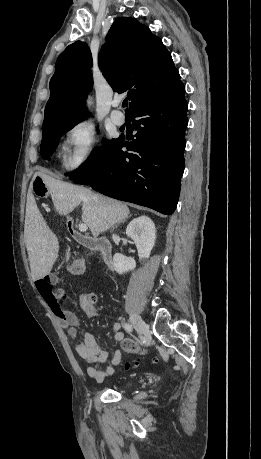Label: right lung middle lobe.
Returning a JSON list of instances; mask_svg holds the SVG:
<instances>
[{
    "instance_id": "1",
    "label": "right lung middle lobe",
    "mask_w": 261,
    "mask_h": 459,
    "mask_svg": "<svg viewBox=\"0 0 261 459\" xmlns=\"http://www.w3.org/2000/svg\"><path fill=\"white\" fill-rule=\"evenodd\" d=\"M77 123L79 122L64 123L42 130L40 152L44 159H49L50 155L55 151L62 134L72 129ZM116 140L105 141L101 148L97 149L78 169L70 173V178L81 177L101 165Z\"/></svg>"
}]
</instances>
